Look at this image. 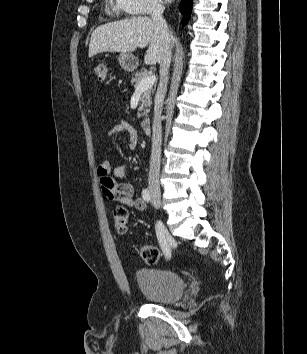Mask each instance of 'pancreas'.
Here are the masks:
<instances>
[{"label": "pancreas", "instance_id": "obj_1", "mask_svg": "<svg viewBox=\"0 0 307 354\" xmlns=\"http://www.w3.org/2000/svg\"><path fill=\"white\" fill-rule=\"evenodd\" d=\"M149 74L145 69H142L140 72H136L132 79H131V84L134 85V87L136 88L138 86V83L143 79L148 77ZM151 93H153L152 89H148L143 91L141 98H140V107L138 109L139 113H138V117H142V116H147L149 113V108L152 104L151 101Z\"/></svg>", "mask_w": 307, "mask_h": 354}]
</instances>
